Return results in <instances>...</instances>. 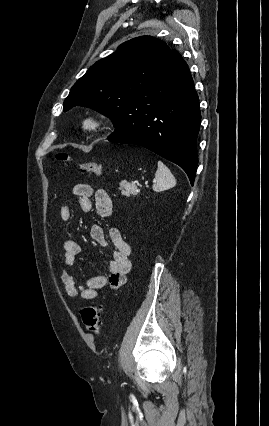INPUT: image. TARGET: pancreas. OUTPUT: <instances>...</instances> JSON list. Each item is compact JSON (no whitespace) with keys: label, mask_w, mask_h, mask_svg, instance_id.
<instances>
[{"label":"pancreas","mask_w":269,"mask_h":426,"mask_svg":"<svg viewBox=\"0 0 269 426\" xmlns=\"http://www.w3.org/2000/svg\"><path fill=\"white\" fill-rule=\"evenodd\" d=\"M119 185V190L121 191V194L126 197L136 196L138 194L137 186L134 183L122 181Z\"/></svg>","instance_id":"cf45deb5"}]
</instances>
